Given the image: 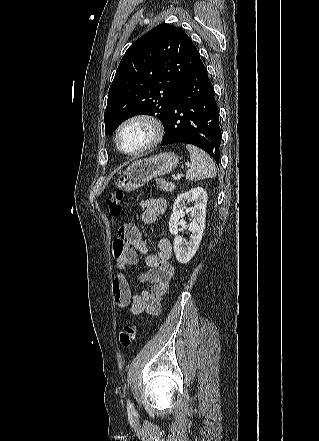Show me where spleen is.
<instances>
[{
    "mask_svg": "<svg viewBox=\"0 0 319 441\" xmlns=\"http://www.w3.org/2000/svg\"><path fill=\"white\" fill-rule=\"evenodd\" d=\"M186 149L190 153L191 161V166L186 172V178L188 180L199 181L201 179L215 177V163L207 153L189 144L186 145Z\"/></svg>",
    "mask_w": 319,
    "mask_h": 441,
    "instance_id": "1",
    "label": "spleen"
}]
</instances>
